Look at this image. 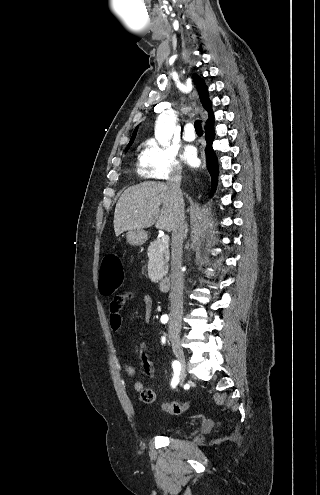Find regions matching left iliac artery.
Listing matches in <instances>:
<instances>
[{
    "label": "left iliac artery",
    "instance_id": "1",
    "mask_svg": "<svg viewBox=\"0 0 320 495\" xmlns=\"http://www.w3.org/2000/svg\"><path fill=\"white\" fill-rule=\"evenodd\" d=\"M162 343H165V337H162Z\"/></svg>",
    "mask_w": 320,
    "mask_h": 495
}]
</instances>
